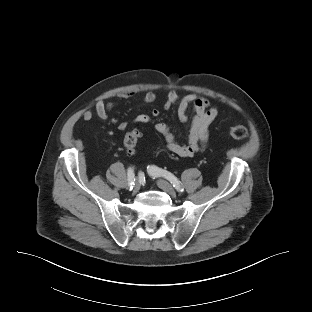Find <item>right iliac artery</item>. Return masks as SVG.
<instances>
[{
  "label": "right iliac artery",
  "instance_id": "82829eb1",
  "mask_svg": "<svg viewBox=\"0 0 312 312\" xmlns=\"http://www.w3.org/2000/svg\"><path fill=\"white\" fill-rule=\"evenodd\" d=\"M127 175H128V186L130 190H132L135 181V174L132 168L128 169Z\"/></svg>",
  "mask_w": 312,
  "mask_h": 312
}]
</instances>
